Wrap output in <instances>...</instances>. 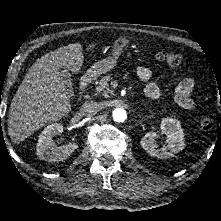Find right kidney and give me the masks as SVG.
I'll return each mask as SVG.
<instances>
[{
	"mask_svg": "<svg viewBox=\"0 0 221 221\" xmlns=\"http://www.w3.org/2000/svg\"><path fill=\"white\" fill-rule=\"evenodd\" d=\"M63 132L61 123L48 125L40 134L36 154L48 162H59L67 159L77 149V143H69L63 146H55L53 137Z\"/></svg>",
	"mask_w": 221,
	"mask_h": 221,
	"instance_id": "obj_1",
	"label": "right kidney"
}]
</instances>
